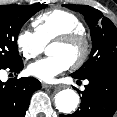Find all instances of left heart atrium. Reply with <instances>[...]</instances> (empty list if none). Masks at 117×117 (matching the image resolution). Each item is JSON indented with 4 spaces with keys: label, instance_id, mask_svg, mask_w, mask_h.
<instances>
[{
    "label": "left heart atrium",
    "instance_id": "left-heart-atrium-1",
    "mask_svg": "<svg viewBox=\"0 0 117 117\" xmlns=\"http://www.w3.org/2000/svg\"><path fill=\"white\" fill-rule=\"evenodd\" d=\"M71 63L62 56H49L28 66V73L44 82H53L55 78L65 72Z\"/></svg>",
    "mask_w": 117,
    "mask_h": 117
}]
</instances>
